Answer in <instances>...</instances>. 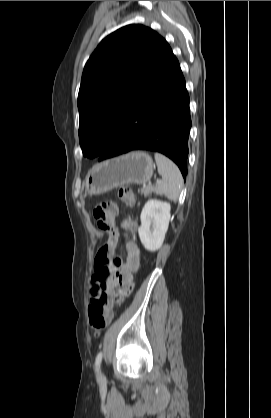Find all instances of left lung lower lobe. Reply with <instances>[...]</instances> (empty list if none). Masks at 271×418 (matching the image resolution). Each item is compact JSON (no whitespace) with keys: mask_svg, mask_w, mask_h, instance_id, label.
I'll return each mask as SVG.
<instances>
[{"mask_svg":"<svg viewBox=\"0 0 271 418\" xmlns=\"http://www.w3.org/2000/svg\"><path fill=\"white\" fill-rule=\"evenodd\" d=\"M190 127L185 79L178 60L171 52L108 148L100 155L99 161L132 150L155 151L172 159L185 177Z\"/></svg>","mask_w":271,"mask_h":418,"instance_id":"0a47b994","label":"left lung lower lobe"}]
</instances>
